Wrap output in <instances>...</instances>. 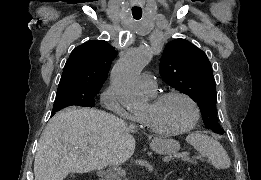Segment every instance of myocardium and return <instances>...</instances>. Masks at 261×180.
I'll list each match as a JSON object with an SVG mask.
<instances>
[{"label": "myocardium", "mask_w": 261, "mask_h": 180, "mask_svg": "<svg viewBox=\"0 0 261 180\" xmlns=\"http://www.w3.org/2000/svg\"><path fill=\"white\" fill-rule=\"evenodd\" d=\"M173 96H179L185 99L192 107L193 110V116L192 119L189 123V125L181 132L171 134V135H166V136H158L156 135L148 125L143 123L140 120H136L141 132L149 139H156V138H161V139H169V140H174V139H182L186 135H188L197 125L199 119H200V107L197 103V101L188 93L181 91V90H169L165 92H155L149 95V98L151 99L153 104H158L161 101L173 97Z\"/></svg>", "instance_id": "obj_1"}]
</instances>
